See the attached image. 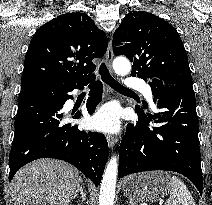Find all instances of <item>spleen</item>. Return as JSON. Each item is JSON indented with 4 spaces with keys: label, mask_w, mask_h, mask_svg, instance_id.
Wrapping results in <instances>:
<instances>
[{
    "label": "spleen",
    "mask_w": 212,
    "mask_h": 205,
    "mask_svg": "<svg viewBox=\"0 0 212 205\" xmlns=\"http://www.w3.org/2000/svg\"><path fill=\"white\" fill-rule=\"evenodd\" d=\"M170 196L165 205H196L187 186L177 176L170 178Z\"/></svg>",
    "instance_id": "3e777b00"
}]
</instances>
